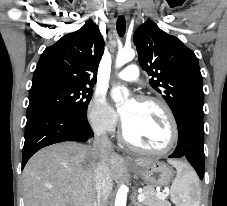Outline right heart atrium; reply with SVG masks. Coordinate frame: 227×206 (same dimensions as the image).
I'll return each instance as SVG.
<instances>
[{
    "mask_svg": "<svg viewBox=\"0 0 227 206\" xmlns=\"http://www.w3.org/2000/svg\"><path fill=\"white\" fill-rule=\"evenodd\" d=\"M87 117L92 129L99 134H111L118 125L115 110L101 95H96L90 102Z\"/></svg>",
    "mask_w": 227,
    "mask_h": 206,
    "instance_id": "right-heart-atrium-1",
    "label": "right heart atrium"
}]
</instances>
